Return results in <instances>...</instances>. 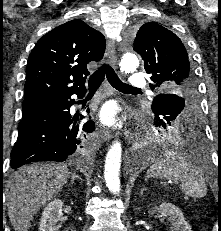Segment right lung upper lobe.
I'll return each instance as SVG.
<instances>
[{
	"label": "right lung upper lobe",
	"instance_id": "1",
	"mask_svg": "<svg viewBox=\"0 0 221 231\" xmlns=\"http://www.w3.org/2000/svg\"><path fill=\"white\" fill-rule=\"evenodd\" d=\"M105 46L104 36L79 19L45 34L28 58L23 102L86 91L87 64L101 60Z\"/></svg>",
	"mask_w": 221,
	"mask_h": 231
}]
</instances>
